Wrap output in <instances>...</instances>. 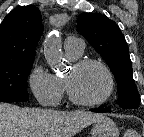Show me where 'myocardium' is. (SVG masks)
I'll return each mask as SVG.
<instances>
[{
  "instance_id": "f54148a6",
  "label": "myocardium",
  "mask_w": 144,
  "mask_h": 137,
  "mask_svg": "<svg viewBox=\"0 0 144 137\" xmlns=\"http://www.w3.org/2000/svg\"><path fill=\"white\" fill-rule=\"evenodd\" d=\"M88 65H96L100 67L107 77L108 88H107L106 93L100 99L95 100V101L80 100L75 96L71 88L70 82L66 77L63 79V83H64V87H65L68 99L73 104L81 106V107H96V106L104 104L112 96L114 92V88H115V80H114V76L110 68L103 61L99 59H95V58L79 59L73 63L72 68L74 70H80Z\"/></svg>"
}]
</instances>
